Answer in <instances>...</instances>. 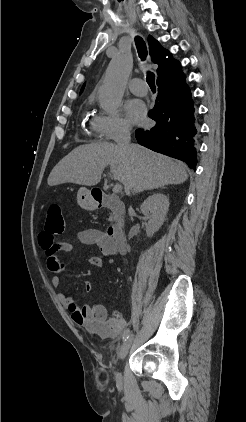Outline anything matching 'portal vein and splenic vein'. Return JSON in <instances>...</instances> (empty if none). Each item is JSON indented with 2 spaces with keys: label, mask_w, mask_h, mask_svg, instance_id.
Listing matches in <instances>:
<instances>
[{
  "label": "portal vein and splenic vein",
  "mask_w": 246,
  "mask_h": 422,
  "mask_svg": "<svg viewBox=\"0 0 246 422\" xmlns=\"http://www.w3.org/2000/svg\"><path fill=\"white\" fill-rule=\"evenodd\" d=\"M121 191H122V185L117 183L113 188V192L114 193H120Z\"/></svg>",
  "instance_id": "portal-vein-and-splenic-vein-1"
}]
</instances>
